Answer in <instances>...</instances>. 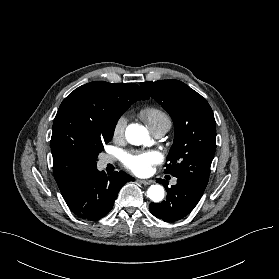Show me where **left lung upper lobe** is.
I'll list each match as a JSON object with an SVG mask.
<instances>
[{
  "label": "left lung upper lobe",
  "mask_w": 279,
  "mask_h": 279,
  "mask_svg": "<svg viewBox=\"0 0 279 279\" xmlns=\"http://www.w3.org/2000/svg\"><path fill=\"white\" fill-rule=\"evenodd\" d=\"M144 88L170 114L174 142L165 173L206 186L216 149V123L208 102L181 81L143 82Z\"/></svg>",
  "instance_id": "5c2ea615"
}]
</instances>
